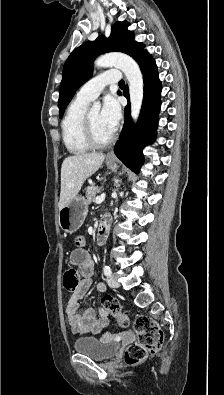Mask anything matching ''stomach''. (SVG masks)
I'll list each match as a JSON object with an SVG mask.
<instances>
[{"instance_id":"0dacf381","label":"stomach","mask_w":224,"mask_h":395,"mask_svg":"<svg viewBox=\"0 0 224 395\" xmlns=\"http://www.w3.org/2000/svg\"><path fill=\"white\" fill-rule=\"evenodd\" d=\"M109 169L116 171L115 161L107 160ZM88 212V203L82 196H76L59 210L58 223L62 230L67 233L76 232L82 225Z\"/></svg>"}]
</instances>
